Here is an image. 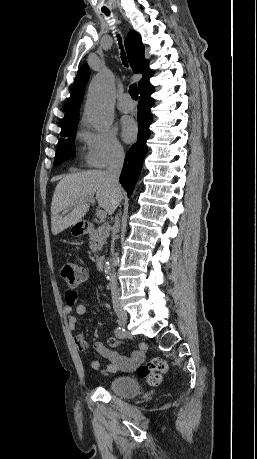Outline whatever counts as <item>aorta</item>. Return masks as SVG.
<instances>
[{
  "mask_svg": "<svg viewBox=\"0 0 257 459\" xmlns=\"http://www.w3.org/2000/svg\"><path fill=\"white\" fill-rule=\"evenodd\" d=\"M114 93V77L109 70L100 72L89 85L85 113L88 122L96 131L106 130L113 122ZM110 270V261L107 259L104 268L107 278L111 275Z\"/></svg>",
  "mask_w": 257,
  "mask_h": 459,
  "instance_id": "obj_1",
  "label": "aorta"
}]
</instances>
